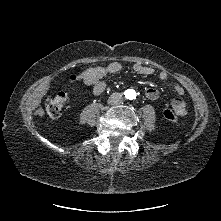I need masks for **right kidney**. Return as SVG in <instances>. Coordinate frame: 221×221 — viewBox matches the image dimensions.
Returning a JSON list of instances; mask_svg holds the SVG:
<instances>
[{
  "mask_svg": "<svg viewBox=\"0 0 221 221\" xmlns=\"http://www.w3.org/2000/svg\"><path fill=\"white\" fill-rule=\"evenodd\" d=\"M62 113L59 114V117H61Z\"/></svg>",
  "mask_w": 221,
  "mask_h": 221,
  "instance_id": "obj_1",
  "label": "right kidney"
}]
</instances>
